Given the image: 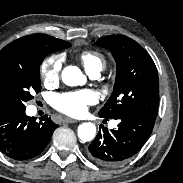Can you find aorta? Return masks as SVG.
<instances>
[{"label": "aorta", "mask_w": 183, "mask_h": 183, "mask_svg": "<svg viewBox=\"0 0 183 183\" xmlns=\"http://www.w3.org/2000/svg\"><path fill=\"white\" fill-rule=\"evenodd\" d=\"M61 78L64 84L68 86H78L86 83V77L81 70L73 65L67 66L63 69ZM77 134L83 142L91 141L96 135V127L91 122L81 123L78 126Z\"/></svg>", "instance_id": "obj_1"}]
</instances>
